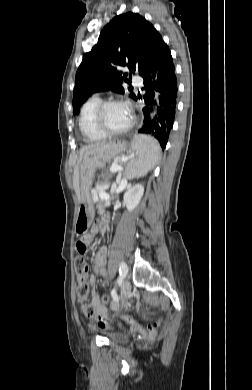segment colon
<instances>
[{
    "label": "colon",
    "instance_id": "obj_1",
    "mask_svg": "<svg viewBox=\"0 0 252 390\" xmlns=\"http://www.w3.org/2000/svg\"><path fill=\"white\" fill-rule=\"evenodd\" d=\"M86 231V225H82L79 228L80 233H85ZM82 249L86 250L87 246L85 244H82ZM85 253H79V255L75 259V272L77 275V287H76V295L78 299L85 300V298L88 295L89 292V284L87 279V263L84 258ZM102 301L107 304L109 302V298L106 295L102 296ZM83 312L88 315L92 316L95 313V309L92 304L90 303H84L82 306ZM109 320L108 316H102L99 320L101 325H105V323ZM156 325L150 326L151 331H154L156 328Z\"/></svg>",
    "mask_w": 252,
    "mask_h": 390
}]
</instances>
